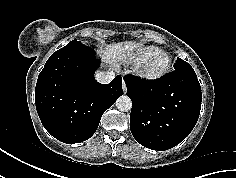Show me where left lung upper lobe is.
<instances>
[{
    "label": "left lung upper lobe",
    "instance_id": "obj_1",
    "mask_svg": "<svg viewBox=\"0 0 236 178\" xmlns=\"http://www.w3.org/2000/svg\"><path fill=\"white\" fill-rule=\"evenodd\" d=\"M174 69L178 71H193L191 65L180 58L177 59Z\"/></svg>",
    "mask_w": 236,
    "mask_h": 178
}]
</instances>
